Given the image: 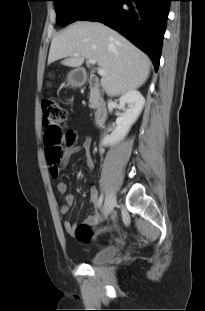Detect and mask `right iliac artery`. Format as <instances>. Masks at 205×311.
I'll return each instance as SVG.
<instances>
[{
  "mask_svg": "<svg viewBox=\"0 0 205 311\" xmlns=\"http://www.w3.org/2000/svg\"><path fill=\"white\" fill-rule=\"evenodd\" d=\"M103 198H104V196H103V194H101L100 197H99V199H98V205H99V206L102 205V203H103Z\"/></svg>",
  "mask_w": 205,
  "mask_h": 311,
  "instance_id": "82829eb1",
  "label": "right iliac artery"
}]
</instances>
